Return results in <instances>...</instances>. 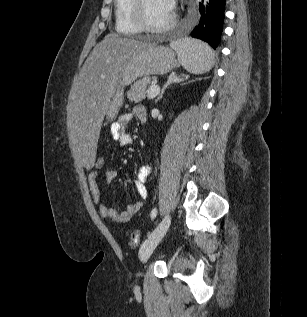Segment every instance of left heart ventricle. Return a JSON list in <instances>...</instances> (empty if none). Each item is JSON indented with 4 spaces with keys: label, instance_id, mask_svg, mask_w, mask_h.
Masks as SVG:
<instances>
[{
    "label": "left heart ventricle",
    "instance_id": "b2bd125f",
    "mask_svg": "<svg viewBox=\"0 0 307 317\" xmlns=\"http://www.w3.org/2000/svg\"><path fill=\"white\" fill-rule=\"evenodd\" d=\"M172 13L166 0H146L145 15L152 26L160 27L169 22Z\"/></svg>",
    "mask_w": 307,
    "mask_h": 317
}]
</instances>
